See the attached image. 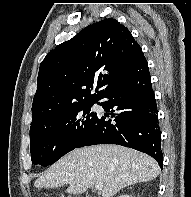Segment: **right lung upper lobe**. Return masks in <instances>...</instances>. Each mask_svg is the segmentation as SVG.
I'll use <instances>...</instances> for the list:
<instances>
[{"instance_id": "obj_1", "label": "right lung upper lobe", "mask_w": 191, "mask_h": 197, "mask_svg": "<svg viewBox=\"0 0 191 197\" xmlns=\"http://www.w3.org/2000/svg\"><path fill=\"white\" fill-rule=\"evenodd\" d=\"M147 65L139 44L116 19L87 26L41 62L31 128L73 106L97 101L107 88ZM94 86L97 94L91 95Z\"/></svg>"}]
</instances>
